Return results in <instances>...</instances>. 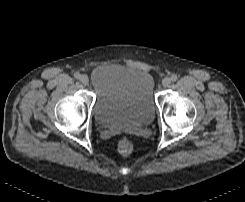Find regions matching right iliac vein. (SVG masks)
Masks as SVG:
<instances>
[{
	"label": "right iliac vein",
	"instance_id": "obj_1",
	"mask_svg": "<svg viewBox=\"0 0 245 202\" xmlns=\"http://www.w3.org/2000/svg\"><path fill=\"white\" fill-rule=\"evenodd\" d=\"M80 82H81L83 85H88V83H89L88 76L82 75V76L80 77Z\"/></svg>",
	"mask_w": 245,
	"mask_h": 202
}]
</instances>
